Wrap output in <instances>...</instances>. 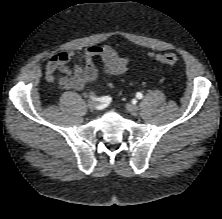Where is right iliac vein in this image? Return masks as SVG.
<instances>
[{
	"mask_svg": "<svg viewBox=\"0 0 222 219\" xmlns=\"http://www.w3.org/2000/svg\"><path fill=\"white\" fill-rule=\"evenodd\" d=\"M87 105H88V108H89V109L94 110V109L97 107L98 102L92 100V101H89Z\"/></svg>",
	"mask_w": 222,
	"mask_h": 219,
	"instance_id": "obj_1",
	"label": "right iliac vein"
}]
</instances>
